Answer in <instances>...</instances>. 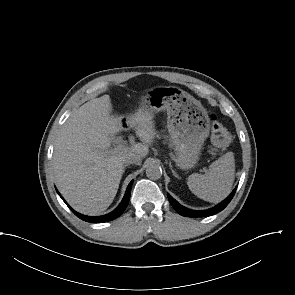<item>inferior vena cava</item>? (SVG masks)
I'll return each instance as SVG.
<instances>
[{
	"instance_id": "inferior-vena-cava-1",
	"label": "inferior vena cava",
	"mask_w": 295,
	"mask_h": 295,
	"mask_svg": "<svg viewBox=\"0 0 295 295\" xmlns=\"http://www.w3.org/2000/svg\"><path fill=\"white\" fill-rule=\"evenodd\" d=\"M124 164H141V156L135 153H129L124 158Z\"/></svg>"
}]
</instances>
